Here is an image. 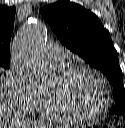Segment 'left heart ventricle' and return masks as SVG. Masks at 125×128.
Returning <instances> with one entry per match:
<instances>
[{"label":"left heart ventricle","mask_w":125,"mask_h":128,"mask_svg":"<svg viewBox=\"0 0 125 128\" xmlns=\"http://www.w3.org/2000/svg\"><path fill=\"white\" fill-rule=\"evenodd\" d=\"M51 94L57 95L72 111L92 114L101 109L104 103L103 86L94 74L81 71L66 81H55Z\"/></svg>","instance_id":"1"}]
</instances>
